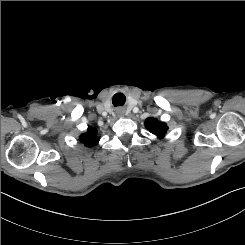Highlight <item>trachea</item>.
<instances>
[{"instance_id":"obj_1","label":"trachea","mask_w":245,"mask_h":245,"mask_svg":"<svg viewBox=\"0 0 245 245\" xmlns=\"http://www.w3.org/2000/svg\"><path fill=\"white\" fill-rule=\"evenodd\" d=\"M125 101L126 98L122 93L115 94L112 100L114 106H122Z\"/></svg>"}]
</instances>
